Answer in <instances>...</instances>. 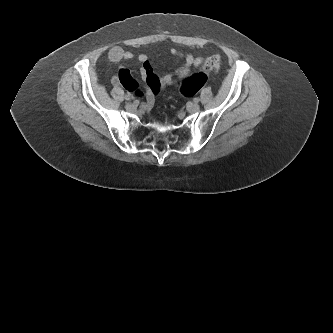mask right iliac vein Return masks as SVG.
I'll use <instances>...</instances> for the list:
<instances>
[{"label": "right iliac vein", "mask_w": 333, "mask_h": 333, "mask_svg": "<svg viewBox=\"0 0 333 333\" xmlns=\"http://www.w3.org/2000/svg\"><path fill=\"white\" fill-rule=\"evenodd\" d=\"M126 109L130 112H133L136 110V106L133 103H127L126 104Z\"/></svg>", "instance_id": "obj_1"}]
</instances>
